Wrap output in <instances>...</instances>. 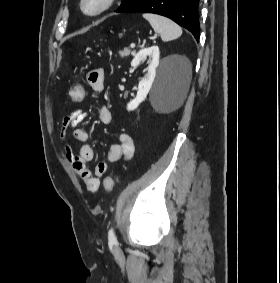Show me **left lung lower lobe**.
I'll use <instances>...</instances> for the list:
<instances>
[{
  "mask_svg": "<svg viewBox=\"0 0 280 283\" xmlns=\"http://www.w3.org/2000/svg\"><path fill=\"white\" fill-rule=\"evenodd\" d=\"M199 0H137L125 13L144 12L168 17L189 30L199 40Z\"/></svg>",
  "mask_w": 280,
  "mask_h": 283,
  "instance_id": "0a47b994",
  "label": "left lung lower lobe"
}]
</instances>
